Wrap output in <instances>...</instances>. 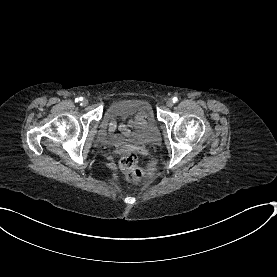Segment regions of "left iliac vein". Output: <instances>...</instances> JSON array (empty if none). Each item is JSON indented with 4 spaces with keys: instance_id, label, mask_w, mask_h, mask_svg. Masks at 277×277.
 Wrapping results in <instances>:
<instances>
[{
    "instance_id": "left-iliac-vein-1",
    "label": "left iliac vein",
    "mask_w": 277,
    "mask_h": 277,
    "mask_svg": "<svg viewBox=\"0 0 277 277\" xmlns=\"http://www.w3.org/2000/svg\"><path fill=\"white\" fill-rule=\"evenodd\" d=\"M166 105H167L168 107H172V106L174 105L173 100H172V99H168L167 102H166Z\"/></svg>"
}]
</instances>
